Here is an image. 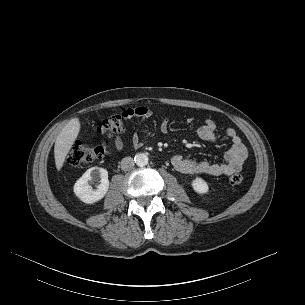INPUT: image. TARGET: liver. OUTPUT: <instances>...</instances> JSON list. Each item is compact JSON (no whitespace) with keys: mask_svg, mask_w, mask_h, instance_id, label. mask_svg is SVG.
<instances>
[{"mask_svg":"<svg viewBox=\"0 0 305 305\" xmlns=\"http://www.w3.org/2000/svg\"><path fill=\"white\" fill-rule=\"evenodd\" d=\"M80 128L81 125L79 119L73 118L65 125L57 136L54 146V158L56 169L58 171L63 167L65 158L79 135Z\"/></svg>","mask_w":305,"mask_h":305,"instance_id":"obj_1","label":"liver"}]
</instances>
